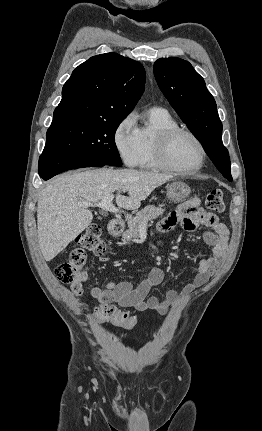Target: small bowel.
I'll use <instances>...</instances> for the list:
<instances>
[{"instance_id": "obj_1", "label": "small bowel", "mask_w": 262, "mask_h": 431, "mask_svg": "<svg viewBox=\"0 0 262 431\" xmlns=\"http://www.w3.org/2000/svg\"><path fill=\"white\" fill-rule=\"evenodd\" d=\"M201 203L200 198H192L176 210L170 211L159 223V229L162 232L171 230L177 223H180L186 230H194L198 226L212 229L211 232L205 234L204 238L212 247L213 254L209 258L200 260L197 271L191 277L190 282L180 291H169L165 301H160L150 294L152 288L164 277L163 271L158 268L150 271L148 277L137 285L128 281H110L104 289L91 286L90 296L98 302L97 314L107 315L112 310L134 308L138 311L150 309L165 316L170 308L178 307L222 267L228 254L229 231L216 215L204 210ZM188 208L194 209L193 214L182 215L181 211ZM71 291L75 296L83 294L82 286H73Z\"/></svg>"}]
</instances>
